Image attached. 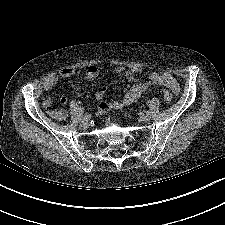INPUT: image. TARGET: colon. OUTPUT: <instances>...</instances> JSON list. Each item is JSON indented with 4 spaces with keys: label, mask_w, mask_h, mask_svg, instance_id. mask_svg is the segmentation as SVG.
<instances>
[{
    "label": "colon",
    "mask_w": 225,
    "mask_h": 225,
    "mask_svg": "<svg viewBox=\"0 0 225 225\" xmlns=\"http://www.w3.org/2000/svg\"><path fill=\"white\" fill-rule=\"evenodd\" d=\"M163 97H164L165 101L169 102V101L172 99V94H171L170 91L164 90V91H163ZM60 113H61L62 115H64V113H63L62 111H60Z\"/></svg>",
    "instance_id": "5ec220e1"
}]
</instances>
